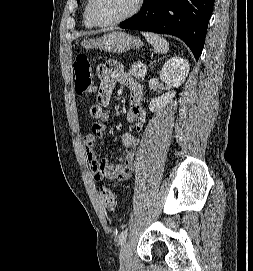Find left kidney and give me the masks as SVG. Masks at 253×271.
<instances>
[{"mask_svg": "<svg viewBox=\"0 0 253 271\" xmlns=\"http://www.w3.org/2000/svg\"><path fill=\"white\" fill-rule=\"evenodd\" d=\"M190 65L182 57H173L169 59L162 67L160 79L167 85L178 88L188 76ZM175 91H169L160 97L153 98L149 103V110L156 112L165 107L175 96Z\"/></svg>", "mask_w": 253, "mask_h": 271, "instance_id": "obj_1", "label": "left kidney"}]
</instances>
